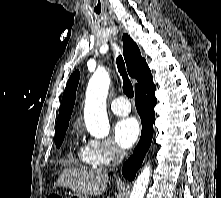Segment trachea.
Returning a JSON list of instances; mask_svg holds the SVG:
<instances>
[{
    "instance_id": "1",
    "label": "trachea",
    "mask_w": 221,
    "mask_h": 198,
    "mask_svg": "<svg viewBox=\"0 0 221 198\" xmlns=\"http://www.w3.org/2000/svg\"><path fill=\"white\" fill-rule=\"evenodd\" d=\"M117 68H118L120 75L123 78V92L128 97L130 98L133 97L134 96L133 86L126 73L125 63L121 55L117 58Z\"/></svg>"
}]
</instances>
